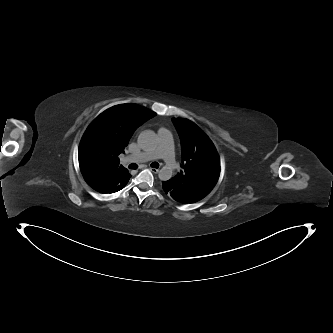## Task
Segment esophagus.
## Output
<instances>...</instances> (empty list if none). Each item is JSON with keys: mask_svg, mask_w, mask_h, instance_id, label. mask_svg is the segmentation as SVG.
Listing matches in <instances>:
<instances>
[{"mask_svg": "<svg viewBox=\"0 0 333 333\" xmlns=\"http://www.w3.org/2000/svg\"><path fill=\"white\" fill-rule=\"evenodd\" d=\"M149 169H150L154 174H157V173L159 172V169H157V168L149 167Z\"/></svg>", "mask_w": 333, "mask_h": 333, "instance_id": "34e87169", "label": "esophagus"}]
</instances>
